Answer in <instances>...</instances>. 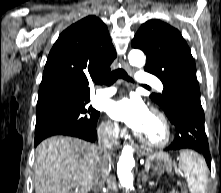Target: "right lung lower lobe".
Returning <instances> with one entry per match:
<instances>
[{"instance_id":"obj_1","label":"right lung lower lobe","mask_w":221,"mask_h":193,"mask_svg":"<svg viewBox=\"0 0 221 193\" xmlns=\"http://www.w3.org/2000/svg\"><path fill=\"white\" fill-rule=\"evenodd\" d=\"M61 135L79 137V138H82V139L90 141V142L95 141L96 138H97L96 129L94 131H91V132H78V131H74V130H66L63 133H61ZM45 138H47V137H42V138L35 139V146H37L38 143H40Z\"/></svg>"}]
</instances>
